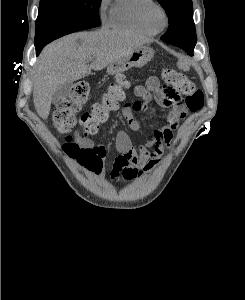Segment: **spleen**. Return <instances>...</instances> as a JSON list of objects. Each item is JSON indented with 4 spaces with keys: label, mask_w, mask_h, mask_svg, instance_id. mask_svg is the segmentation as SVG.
<instances>
[{
    "label": "spleen",
    "mask_w": 245,
    "mask_h": 300,
    "mask_svg": "<svg viewBox=\"0 0 245 300\" xmlns=\"http://www.w3.org/2000/svg\"><path fill=\"white\" fill-rule=\"evenodd\" d=\"M182 69L189 70V67L187 65L182 66Z\"/></svg>",
    "instance_id": "spleen-1"
}]
</instances>
